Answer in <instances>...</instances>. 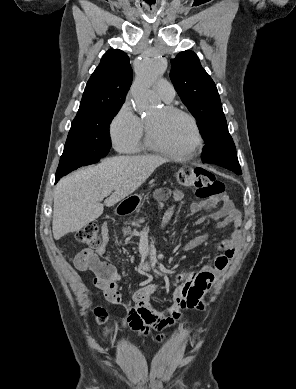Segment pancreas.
I'll list each match as a JSON object with an SVG mask.
<instances>
[{"label":"pancreas","instance_id":"cf45deb5","mask_svg":"<svg viewBox=\"0 0 296 389\" xmlns=\"http://www.w3.org/2000/svg\"><path fill=\"white\" fill-rule=\"evenodd\" d=\"M142 222H143V219H139L138 221H136V222H134L132 224L135 225V226H140V223H142Z\"/></svg>","mask_w":296,"mask_h":389}]
</instances>
